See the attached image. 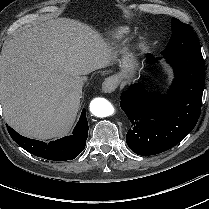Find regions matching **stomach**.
<instances>
[{
  "mask_svg": "<svg viewBox=\"0 0 209 209\" xmlns=\"http://www.w3.org/2000/svg\"><path fill=\"white\" fill-rule=\"evenodd\" d=\"M119 64L121 71L114 76L118 81H124L131 78L138 70L135 53L128 51L126 48L122 50V57L119 60Z\"/></svg>",
  "mask_w": 209,
  "mask_h": 209,
  "instance_id": "stomach-1",
  "label": "stomach"
}]
</instances>
